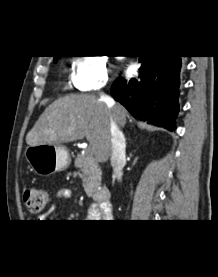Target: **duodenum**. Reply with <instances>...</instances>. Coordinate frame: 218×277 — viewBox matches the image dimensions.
<instances>
[{"instance_id": "duodenum-1", "label": "duodenum", "mask_w": 218, "mask_h": 277, "mask_svg": "<svg viewBox=\"0 0 218 277\" xmlns=\"http://www.w3.org/2000/svg\"><path fill=\"white\" fill-rule=\"evenodd\" d=\"M96 201L103 207L104 210L108 209L111 204V192L109 189H101L95 194Z\"/></svg>"}]
</instances>
